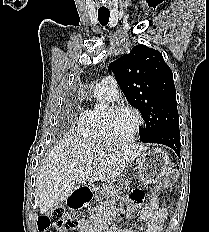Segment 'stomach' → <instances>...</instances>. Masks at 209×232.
Here are the masks:
<instances>
[{"label": "stomach", "mask_w": 209, "mask_h": 232, "mask_svg": "<svg viewBox=\"0 0 209 232\" xmlns=\"http://www.w3.org/2000/svg\"><path fill=\"white\" fill-rule=\"evenodd\" d=\"M169 171L168 153L160 148L151 149L143 153L139 158V167L136 177L139 182L145 184L156 183ZM133 175V172H130ZM123 183H135V178H118V182H109L108 186H93L92 196H100L101 199H110L112 190L124 191ZM117 195V192H114Z\"/></svg>", "instance_id": "0dacf381"}]
</instances>
